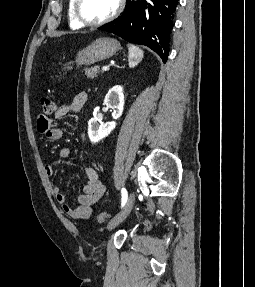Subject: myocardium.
Instances as JSON below:
<instances>
[{"label": "myocardium", "instance_id": "1", "mask_svg": "<svg viewBox=\"0 0 255 287\" xmlns=\"http://www.w3.org/2000/svg\"><path fill=\"white\" fill-rule=\"evenodd\" d=\"M95 33V32H89ZM108 33H116V32H108ZM90 39H119V38H90ZM117 48H130V47H117ZM138 48H145V47H138Z\"/></svg>", "mask_w": 255, "mask_h": 287}]
</instances>
